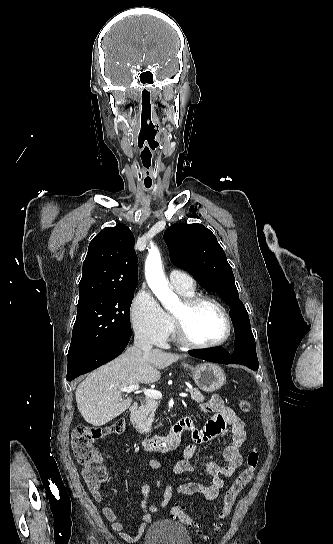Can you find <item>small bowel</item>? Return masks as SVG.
Wrapping results in <instances>:
<instances>
[{"instance_id":"small-bowel-1","label":"small bowel","mask_w":333,"mask_h":544,"mask_svg":"<svg viewBox=\"0 0 333 544\" xmlns=\"http://www.w3.org/2000/svg\"><path fill=\"white\" fill-rule=\"evenodd\" d=\"M200 409L205 414H208V420L203 427L199 428L192 419L185 418V432L190 434L192 443L185 448L184 457L171 466L170 472L173 474L192 473L198 467H202L212 477L211 483L205 485L199 482H188L174 488L170 483L164 484L161 481H157L156 486L162 489L161 499L152 505L148 503V495L151 488L147 483L142 484L141 492L143 499L140 504L142 521L134 534L124 531V524L118 520L117 514L111 507H103L102 513L104 517L110 522L112 529L119 533L125 541H138L151 521V513L157 509L166 507L175 494L185 496L199 494L208 501L216 499L224 486V478L231 477L236 469L242 465L243 459L240 449L246 440L244 421L232 408L225 405L223 399L216 394L206 403H202ZM227 435L230 436L231 440L223 453V466L212 461L201 462L197 459L198 450L201 445ZM145 465L153 470H165L162 463L155 459L147 460ZM91 494L96 502L102 501L100 488L91 489Z\"/></svg>"}]
</instances>
